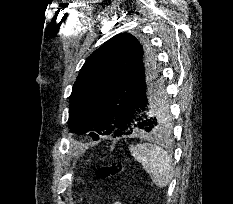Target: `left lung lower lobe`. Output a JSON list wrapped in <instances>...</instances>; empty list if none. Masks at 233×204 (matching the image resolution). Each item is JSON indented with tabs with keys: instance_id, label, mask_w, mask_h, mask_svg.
<instances>
[{
	"instance_id": "1",
	"label": "left lung lower lobe",
	"mask_w": 233,
	"mask_h": 204,
	"mask_svg": "<svg viewBox=\"0 0 233 204\" xmlns=\"http://www.w3.org/2000/svg\"><path fill=\"white\" fill-rule=\"evenodd\" d=\"M165 91L157 62L144 63L126 90L117 110L122 135L147 132L159 133L155 109Z\"/></svg>"
}]
</instances>
